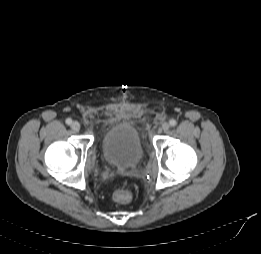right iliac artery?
I'll return each mask as SVG.
<instances>
[{
    "label": "right iliac artery",
    "instance_id": "82829eb1",
    "mask_svg": "<svg viewBox=\"0 0 261 254\" xmlns=\"http://www.w3.org/2000/svg\"><path fill=\"white\" fill-rule=\"evenodd\" d=\"M72 123V120L70 118L66 119V124L70 125Z\"/></svg>",
    "mask_w": 261,
    "mask_h": 254
}]
</instances>
